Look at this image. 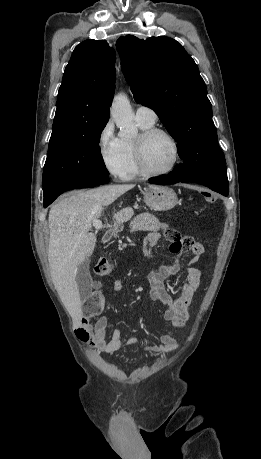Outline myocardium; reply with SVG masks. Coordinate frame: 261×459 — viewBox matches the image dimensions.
<instances>
[{
	"mask_svg": "<svg viewBox=\"0 0 261 459\" xmlns=\"http://www.w3.org/2000/svg\"><path fill=\"white\" fill-rule=\"evenodd\" d=\"M157 134H162L166 136L172 143L173 146V161L170 166L162 171H153L149 169L146 165L145 161V146L148 140H150L153 136ZM134 153H135V161L137 168L140 174L150 177H158L164 176L171 173L177 166L180 158V148L179 142L176 137L168 130L160 127H150L148 129L143 130L140 135L134 140Z\"/></svg>",
	"mask_w": 261,
	"mask_h": 459,
	"instance_id": "1",
	"label": "myocardium"
}]
</instances>
